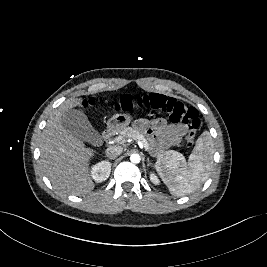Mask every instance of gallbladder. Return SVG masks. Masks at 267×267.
Returning a JSON list of instances; mask_svg holds the SVG:
<instances>
[{
	"instance_id": "bac80fb5",
	"label": "gallbladder",
	"mask_w": 267,
	"mask_h": 267,
	"mask_svg": "<svg viewBox=\"0 0 267 267\" xmlns=\"http://www.w3.org/2000/svg\"><path fill=\"white\" fill-rule=\"evenodd\" d=\"M62 125L75 137L90 143L93 146H101L102 137L89 122L87 116L80 110L70 109L62 115Z\"/></svg>"
}]
</instances>
